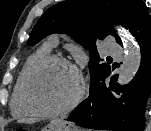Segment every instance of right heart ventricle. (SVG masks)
I'll return each mask as SVG.
<instances>
[{
    "label": "right heart ventricle",
    "instance_id": "1",
    "mask_svg": "<svg viewBox=\"0 0 151 131\" xmlns=\"http://www.w3.org/2000/svg\"><path fill=\"white\" fill-rule=\"evenodd\" d=\"M51 51V45L44 44L40 48H38L33 54H31L28 59L26 60L18 78L15 83V86L12 91L11 100H10V109L11 113L15 117H25L28 114L23 110L20 104V94H21V87L24 75L27 69L38 59L48 56Z\"/></svg>",
    "mask_w": 151,
    "mask_h": 131
}]
</instances>
